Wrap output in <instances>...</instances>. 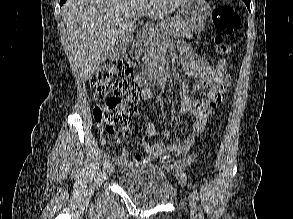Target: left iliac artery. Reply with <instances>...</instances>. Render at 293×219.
<instances>
[{"instance_id": "left-iliac-artery-1", "label": "left iliac artery", "mask_w": 293, "mask_h": 219, "mask_svg": "<svg viewBox=\"0 0 293 219\" xmlns=\"http://www.w3.org/2000/svg\"><path fill=\"white\" fill-rule=\"evenodd\" d=\"M191 195L193 196V198L196 201H199V196H198L197 191H196V189L194 187H193ZM199 219H204V215H203V212H202L200 207H199Z\"/></svg>"}]
</instances>
